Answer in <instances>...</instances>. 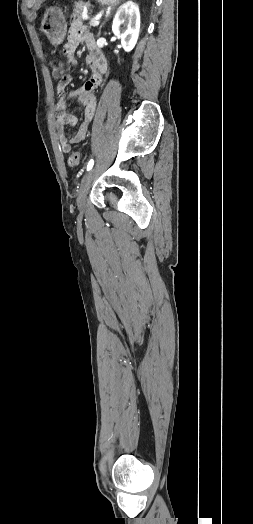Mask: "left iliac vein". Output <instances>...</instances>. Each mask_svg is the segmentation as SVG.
<instances>
[{
  "label": "left iliac vein",
  "mask_w": 253,
  "mask_h": 524,
  "mask_svg": "<svg viewBox=\"0 0 253 524\" xmlns=\"http://www.w3.org/2000/svg\"><path fill=\"white\" fill-rule=\"evenodd\" d=\"M94 175H95V168H92L83 178L82 182H81V186H80V190H79V194H78V197H77V205H78V208L81 212L84 211L85 209V206H86V198H87V194L91 188V185H92V182H93V179H94Z\"/></svg>",
  "instance_id": "1"
}]
</instances>
